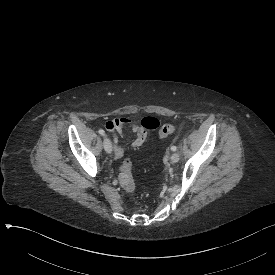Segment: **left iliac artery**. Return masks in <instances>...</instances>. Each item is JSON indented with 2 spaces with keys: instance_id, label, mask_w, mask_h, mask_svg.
I'll list each match as a JSON object with an SVG mask.
<instances>
[{
  "instance_id": "left-iliac-artery-1",
  "label": "left iliac artery",
  "mask_w": 275,
  "mask_h": 275,
  "mask_svg": "<svg viewBox=\"0 0 275 275\" xmlns=\"http://www.w3.org/2000/svg\"><path fill=\"white\" fill-rule=\"evenodd\" d=\"M177 147L176 146H171L172 151H176Z\"/></svg>"
}]
</instances>
